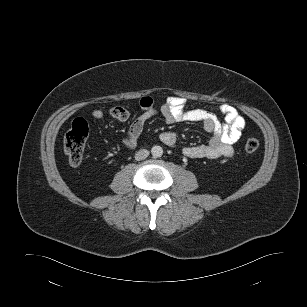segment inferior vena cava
<instances>
[{"instance_id":"1","label":"inferior vena cava","mask_w":307,"mask_h":307,"mask_svg":"<svg viewBox=\"0 0 307 307\" xmlns=\"http://www.w3.org/2000/svg\"><path fill=\"white\" fill-rule=\"evenodd\" d=\"M149 155V151L146 149H141L135 154V159L137 161L144 160Z\"/></svg>"}]
</instances>
